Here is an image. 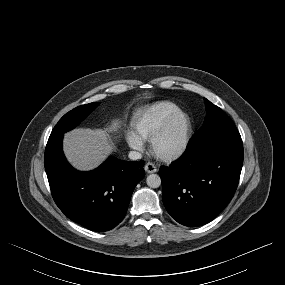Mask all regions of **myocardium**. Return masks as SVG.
Instances as JSON below:
<instances>
[{
  "label": "myocardium",
  "instance_id": "myocardium-1",
  "mask_svg": "<svg viewBox=\"0 0 285 285\" xmlns=\"http://www.w3.org/2000/svg\"><path fill=\"white\" fill-rule=\"evenodd\" d=\"M178 118H183L185 120V131L183 138L179 146L172 151H163L159 147V143L162 138L166 135L171 125ZM193 132V125L190 116L183 110H179L171 114L162 125L156 130V132L151 136L150 144L153 153L160 159L164 161H174L182 157L187 151Z\"/></svg>",
  "mask_w": 285,
  "mask_h": 285
}]
</instances>
